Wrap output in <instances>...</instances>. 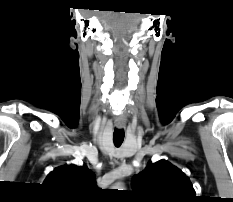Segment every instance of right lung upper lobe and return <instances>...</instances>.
Instances as JSON below:
<instances>
[{"instance_id": "1", "label": "right lung upper lobe", "mask_w": 233, "mask_h": 202, "mask_svg": "<svg viewBox=\"0 0 233 202\" xmlns=\"http://www.w3.org/2000/svg\"><path fill=\"white\" fill-rule=\"evenodd\" d=\"M44 184L58 192L68 194H84L96 189L95 174L86 166L57 167L48 174Z\"/></svg>"}]
</instances>
